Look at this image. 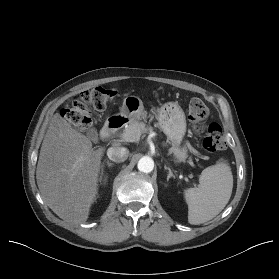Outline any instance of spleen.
I'll return each instance as SVG.
<instances>
[{
	"instance_id": "obj_1",
	"label": "spleen",
	"mask_w": 279,
	"mask_h": 279,
	"mask_svg": "<svg viewBox=\"0 0 279 279\" xmlns=\"http://www.w3.org/2000/svg\"><path fill=\"white\" fill-rule=\"evenodd\" d=\"M199 186L185 190L188 222L198 225L216 217L227 205L233 189V175L225 161L205 168Z\"/></svg>"
}]
</instances>
